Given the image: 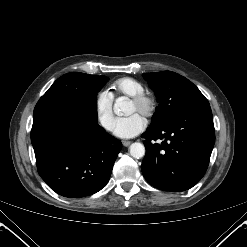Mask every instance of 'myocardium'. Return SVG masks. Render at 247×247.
I'll return each instance as SVG.
<instances>
[{
    "mask_svg": "<svg viewBox=\"0 0 247 247\" xmlns=\"http://www.w3.org/2000/svg\"><path fill=\"white\" fill-rule=\"evenodd\" d=\"M130 102L135 104L140 113L145 117H151L156 110V101L154 97L145 92L131 97Z\"/></svg>",
    "mask_w": 247,
    "mask_h": 247,
    "instance_id": "1",
    "label": "myocardium"
}]
</instances>
